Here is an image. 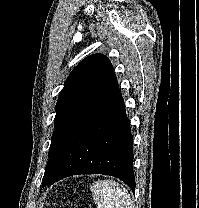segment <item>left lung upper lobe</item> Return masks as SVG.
<instances>
[{
    "label": "left lung upper lobe",
    "mask_w": 199,
    "mask_h": 208,
    "mask_svg": "<svg viewBox=\"0 0 199 208\" xmlns=\"http://www.w3.org/2000/svg\"><path fill=\"white\" fill-rule=\"evenodd\" d=\"M117 89L118 82L113 67L102 54L85 58L70 73L55 107V129L43 186L52 175L59 153L73 132Z\"/></svg>",
    "instance_id": "obj_1"
}]
</instances>
